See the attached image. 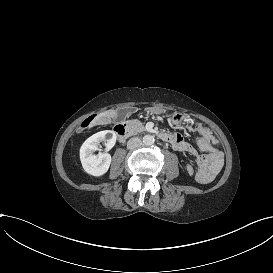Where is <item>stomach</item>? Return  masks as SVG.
I'll list each match as a JSON object with an SVG mask.
<instances>
[{"label":"stomach","mask_w":273,"mask_h":273,"mask_svg":"<svg viewBox=\"0 0 273 273\" xmlns=\"http://www.w3.org/2000/svg\"><path fill=\"white\" fill-rule=\"evenodd\" d=\"M151 111L155 114H160L163 112V109L156 107V108H151ZM186 118L187 116L180 112H174L171 115V120L173 124H180L183 120H186Z\"/></svg>","instance_id":"stomach-1"}]
</instances>
